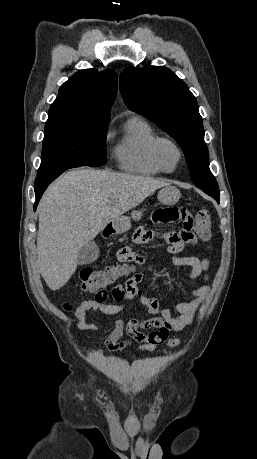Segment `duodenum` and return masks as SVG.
<instances>
[{"instance_id":"1","label":"duodenum","mask_w":257,"mask_h":459,"mask_svg":"<svg viewBox=\"0 0 257 459\" xmlns=\"http://www.w3.org/2000/svg\"><path fill=\"white\" fill-rule=\"evenodd\" d=\"M103 233H104V236H105V237L110 236V235L113 233V227H112L111 225H110V226H107V227L104 229Z\"/></svg>"}]
</instances>
